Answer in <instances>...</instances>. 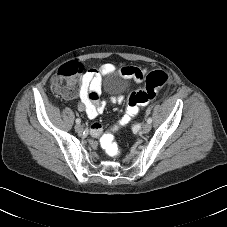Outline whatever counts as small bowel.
<instances>
[{"label":"small bowel","instance_id":"c3829d8e","mask_svg":"<svg viewBox=\"0 0 227 227\" xmlns=\"http://www.w3.org/2000/svg\"><path fill=\"white\" fill-rule=\"evenodd\" d=\"M131 69H139L142 73L140 78H133L136 83H140L147 69L145 68H136L133 66H128L122 69V73ZM117 71V68L114 64L104 63L99 67H91L85 71L82 76L81 89L79 93V102L78 109L83 112L89 119H94L99 116L104 108L105 103L100 99V84L102 76L111 75ZM96 90L98 92V98H91V91ZM66 99H71V97L64 96ZM90 135L94 138L98 137L102 133V125L98 122H93L89 127ZM134 131H137V127H134ZM90 145L96 146L97 143L94 140L89 141Z\"/></svg>","mask_w":227,"mask_h":227}]
</instances>
